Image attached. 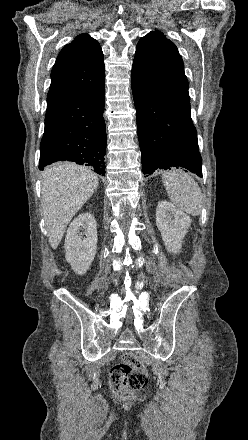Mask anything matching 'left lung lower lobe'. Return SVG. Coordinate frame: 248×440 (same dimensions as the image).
<instances>
[{
	"label": "left lung lower lobe",
	"instance_id": "1",
	"mask_svg": "<svg viewBox=\"0 0 248 440\" xmlns=\"http://www.w3.org/2000/svg\"><path fill=\"white\" fill-rule=\"evenodd\" d=\"M131 85L143 173L183 167L202 177V159L190 109L146 85L133 72Z\"/></svg>",
	"mask_w": 248,
	"mask_h": 440
}]
</instances>
